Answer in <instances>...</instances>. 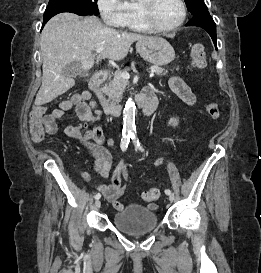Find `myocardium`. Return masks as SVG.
Segmentation results:
<instances>
[{
  "mask_svg": "<svg viewBox=\"0 0 261 273\" xmlns=\"http://www.w3.org/2000/svg\"><path fill=\"white\" fill-rule=\"evenodd\" d=\"M157 2L158 0H141L140 3V8L144 22L152 31L160 33H169L177 30L184 24L187 17V7L184 0H178L182 12L180 20L175 25L167 28L159 26L155 21L154 9Z\"/></svg>",
  "mask_w": 261,
  "mask_h": 273,
  "instance_id": "myocardium-1",
  "label": "myocardium"
}]
</instances>
